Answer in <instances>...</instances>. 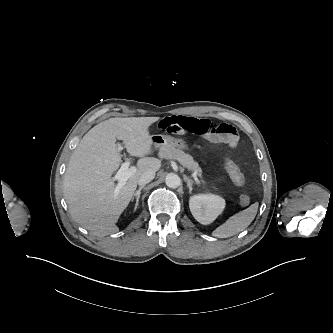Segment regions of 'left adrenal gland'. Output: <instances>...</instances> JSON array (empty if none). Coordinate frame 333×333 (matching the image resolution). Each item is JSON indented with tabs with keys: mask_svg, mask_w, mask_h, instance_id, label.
<instances>
[{
	"mask_svg": "<svg viewBox=\"0 0 333 333\" xmlns=\"http://www.w3.org/2000/svg\"><path fill=\"white\" fill-rule=\"evenodd\" d=\"M184 180L187 183V187L189 188V193L191 194L192 193V185L193 184H197L198 185V183L194 182L193 180H191L190 178H188L186 176L184 177Z\"/></svg>",
	"mask_w": 333,
	"mask_h": 333,
	"instance_id": "obj_1",
	"label": "left adrenal gland"
}]
</instances>
